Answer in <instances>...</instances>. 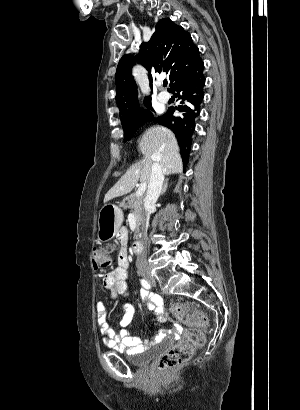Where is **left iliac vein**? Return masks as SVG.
Segmentation results:
<instances>
[{
  "instance_id": "left-iliac-vein-1",
  "label": "left iliac vein",
  "mask_w": 300,
  "mask_h": 410,
  "mask_svg": "<svg viewBox=\"0 0 300 410\" xmlns=\"http://www.w3.org/2000/svg\"><path fill=\"white\" fill-rule=\"evenodd\" d=\"M150 283H151L152 286H156L155 280L152 279V280L150 281Z\"/></svg>"
}]
</instances>
